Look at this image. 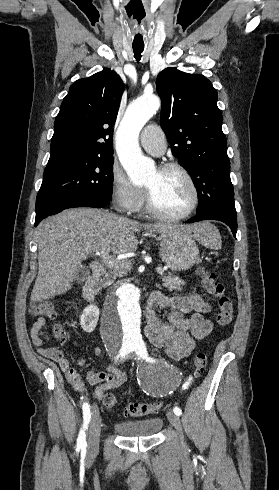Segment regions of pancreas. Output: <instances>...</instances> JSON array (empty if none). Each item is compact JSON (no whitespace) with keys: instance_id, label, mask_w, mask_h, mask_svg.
Instances as JSON below:
<instances>
[{"instance_id":"pancreas-1","label":"pancreas","mask_w":279,"mask_h":490,"mask_svg":"<svg viewBox=\"0 0 279 490\" xmlns=\"http://www.w3.org/2000/svg\"><path fill=\"white\" fill-rule=\"evenodd\" d=\"M131 270V262H124V264H118L116 266V270H110L109 274H106L105 278H103L102 282H114L117 276L122 278V276H127L128 272ZM162 286L165 288H169V290H182V286H184L185 282L177 278V276H173V274H168V276H162Z\"/></svg>"}]
</instances>
